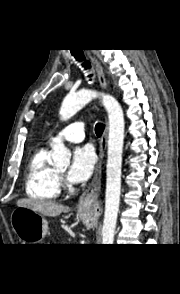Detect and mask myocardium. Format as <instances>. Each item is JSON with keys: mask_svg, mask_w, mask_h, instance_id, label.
Returning <instances> with one entry per match:
<instances>
[{"mask_svg": "<svg viewBox=\"0 0 180 294\" xmlns=\"http://www.w3.org/2000/svg\"><path fill=\"white\" fill-rule=\"evenodd\" d=\"M57 173V176H58V178H59V180H61L62 181V183L64 184V182H63V175L62 174H60L59 172H56ZM65 185V187H67L68 188V185H66V184H64Z\"/></svg>", "mask_w": 180, "mask_h": 294, "instance_id": "obj_1", "label": "myocardium"}]
</instances>
